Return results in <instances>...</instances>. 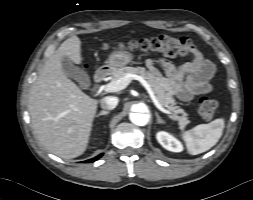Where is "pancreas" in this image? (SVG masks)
I'll return each instance as SVG.
<instances>
[{
	"label": "pancreas",
	"mask_w": 253,
	"mask_h": 200,
	"mask_svg": "<svg viewBox=\"0 0 253 200\" xmlns=\"http://www.w3.org/2000/svg\"><path fill=\"white\" fill-rule=\"evenodd\" d=\"M128 73L142 76L149 83L159 103L171 113L170 118L178 120L181 129L189 123L185 111L175 106L176 102L170 91L168 80L158 70H146L144 67H122L112 72V81ZM178 114L182 115L178 116Z\"/></svg>",
	"instance_id": "cf45deb5"
}]
</instances>
